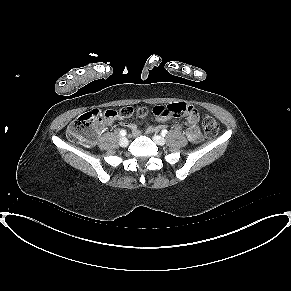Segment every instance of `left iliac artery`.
Masks as SVG:
<instances>
[{
	"label": "left iliac artery",
	"instance_id": "1",
	"mask_svg": "<svg viewBox=\"0 0 291 291\" xmlns=\"http://www.w3.org/2000/svg\"><path fill=\"white\" fill-rule=\"evenodd\" d=\"M167 132L168 131L166 129L162 130V132H161L162 136H165L167 134Z\"/></svg>",
	"mask_w": 291,
	"mask_h": 291
}]
</instances>
